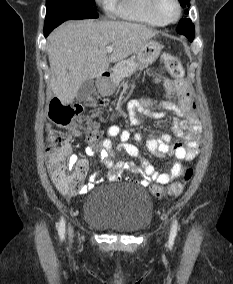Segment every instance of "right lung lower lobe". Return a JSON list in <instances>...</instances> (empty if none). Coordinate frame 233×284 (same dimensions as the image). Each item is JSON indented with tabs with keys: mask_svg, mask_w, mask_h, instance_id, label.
<instances>
[{
	"mask_svg": "<svg viewBox=\"0 0 233 284\" xmlns=\"http://www.w3.org/2000/svg\"><path fill=\"white\" fill-rule=\"evenodd\" d=\"M53 29H47V30H44V34L45 36H48V34L52 31Z\"/></svg>",
	"mask_w": 233,
	"mask_h": 284,
	"instance_id": "obj_1",
	"label": "right lung lower lobe"
}]
</instances>
